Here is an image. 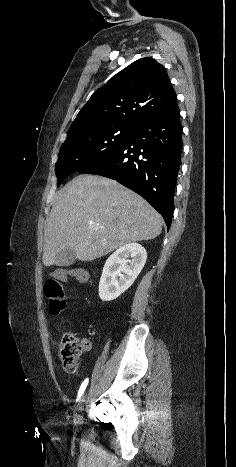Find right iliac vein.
<instances>
[{
    "instance_id": "1",
    "label": "right iliac vein",
    "mask_w": 236,
    "mask_h": 467,
    "mask_svg": "<svg viewBox=\"0 0 236 467\" xmlns=\"http://www.w3.org/2000/svg\"><path fill=\"white\" fill-rule=\"evenodd\" d=\"M86 397H87V395L85 393L81 397V399H80V401H79V403H78V405L76 407L77 413H76L75 418H74L76 424H80L83 421V417H82V415L80 413L82 412V410L84 408V403L86 402Z\"/></svg>"
}]
</instances>
